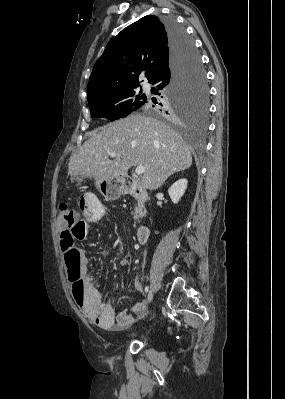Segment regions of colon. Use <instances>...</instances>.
<instances>
[{
	"label": "colon",
	"mask_w": 285,
	"mask_h": 399,
	"mask_svg": "<svg viewBox=\"0 0 285 399\" xmlns=\"http://www.w3.org/2000/svg\"><path fill=\"white\" fill-rule=\"evenodd\" d=\"M103 195H108V193L103 192ZM85 202V197H79L76 200L75 206L68 202L59 205V221L62 224L59 234L60 243L65 260L69 262L73 268L69 272V281L71 286L75 289L76 297L84 292V283L80 279L78 270L79 252L76 243L82 238L77 208H83Z\"/></svg>",
	"instance_id": "obj_1"
}]
</instances>
